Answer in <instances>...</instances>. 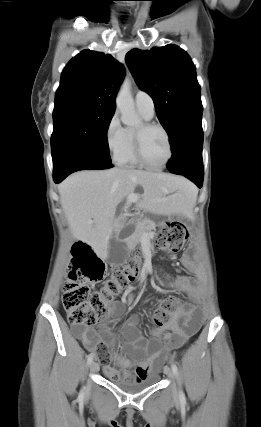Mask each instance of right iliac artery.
Listing matches in <instances>:
<instances>
[{"label":"right iliac artery","instance_id":"right-iliac-artery-1","mask_svg":"<svg viewBox=\"0 0 261 427\" xmlns=\"http://www.w3.org/2000/svg\"><path fill=\"white\" fill-rule=\"evenodd\" d=\"M92 361H93V355L89 354L87 357V364L90 365ZM83 395H84V390L82 389L80 392V397H83Z\"/></svg>","mask_w":261,"mask_h":427}]
</instances>
